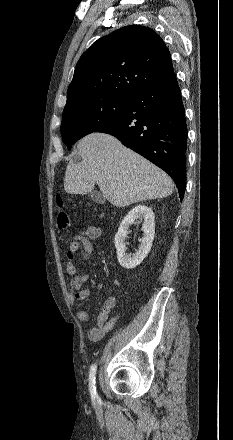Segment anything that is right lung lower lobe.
<instances>
[{
    "instance_id": "right-lung-lower-lobe-1",
    "label": "right lung lower lobe",
    "mask_w": 233,
    "mask_h": 440,
    "mask_svg": "<svg viewBox=\"0 0 233 440\" xmlns=\"http://www.w3.org/2000/svg\"><path fill=\"white\" fill-rule=\"evenodd\" d=\"M96 132L116 137L162 168L174 179L182 200L186 186L187 126L174 73L135 93L122 114Z\"/></svg>"
}]
</instances>
